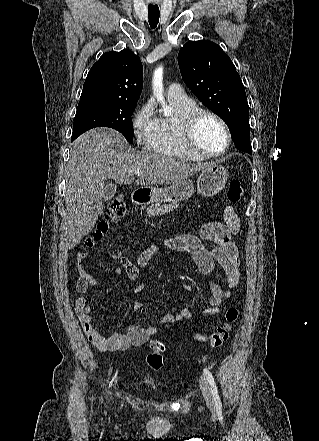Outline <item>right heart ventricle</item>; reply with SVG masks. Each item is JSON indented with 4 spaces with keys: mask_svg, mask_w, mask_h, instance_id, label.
Wrapping results in <instances>:
<instances>
[{
    "mask_svg": "<svg viewBox=\"0 0 319 441\" xmlns=\"http://www.w3.org/2000/svg\"><path fill=\"white\" fill-rule=\"evenodd\" d=\"M174 108L171 117L158 119L156 136L151 150L161 156L175 157L198 161L203 159L191 153L183 144L181 137V123L185 115L198 108L191 99L178 101L170 99Z\"/></svg>",
    "mask_w": 319,
    "mask_h": 441,
    "instance_id": "e07e8e85",
    "label": "right heart ventricle"
}]
</instances>
